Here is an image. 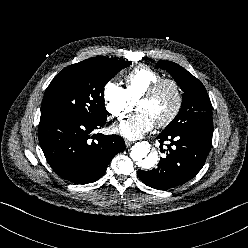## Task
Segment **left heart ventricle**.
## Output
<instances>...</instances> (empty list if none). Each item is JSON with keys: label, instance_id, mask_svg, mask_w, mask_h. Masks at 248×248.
Listing matches in <instances>:
<instances>
[{"label": "left heart ventricle", "instance_id": "obj_1", "mask_svg": "<svg viewBox=\"0 0 248 248\" xmlns=\"http://www.w3.org/2000/svg\"><path fill=\"white\" fill-rule=\"evenodd\" d=\"M176 104L174 88L166 84L150 100L138 104V111L145 112L153 120L154 124L163 121L173 111Z\"/></svg>", "mask_w": 248, "mask_h": 248}]
</instances>
